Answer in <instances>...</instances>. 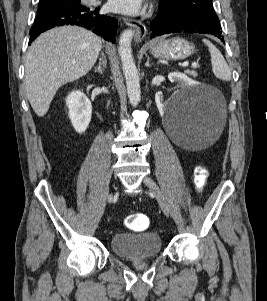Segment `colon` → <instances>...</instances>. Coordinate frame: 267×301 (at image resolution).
<instances>
[{
  "instance_id": "1",
  "label": "colon",
  "mask_w": 267,
  "mask_h": 301,
  "mask_svg": "<svg viewBox=\"0 0 267 301\" xmlns=\"http://www.w3.org/2000/svg\"><path fill=\"white\" fill-rule=\"evenodd\" d=\"M208 176V171L204 167H198L195 172V184L201 189ZM126 226L134 231H143L149 226V218L143 213H134L125 219Z\"/></svg>"
}]
</instances>
